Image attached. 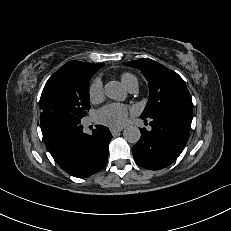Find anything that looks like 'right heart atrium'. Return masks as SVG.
Returning a JSON list of instances; mask_svg holds the SVG:
<instances>
[{
    "mask_svg": "<svg viewBox=\"0 0 231 231\" xmlns=\"http://www.w3.org/2000/svg\"><path fill=\"white\" fill-rule=\"evenodd\" d=\"M89 97L92 101H98L103 96V85L102 80L97 77L92 80V82L89 85Z\"/></svg>",
    "mask_w": 231,
    "mask_h": 231,
    "instance_id": "1",
    "label": "right heart atrium"
}]
</instances>
